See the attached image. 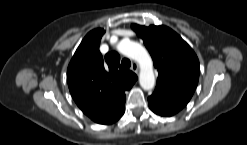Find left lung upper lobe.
Here are the masks:
<instances>
[{
    "mask_svg": "<svg viewBox=\"0 0 247 145\" xmlns=\"http://www.w3.org/2000/svg\"><path fill=\"white\" fill-rule=\"evenodd\" d=\"M150 52L158 70V87L191 98L198 80L199 60L191 47L166 26L132 25Z\"/></svg>",
    "mask_w": 247,
    "mask_h": 145,
    "instance_id": "left-lung-upper-lobe-1",
    "label": "left lung upper lobe"
}]
</instances>
